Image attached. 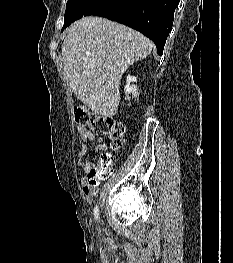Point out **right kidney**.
Wrapping results in <instances>:
<instances>
[{"label": "right kidney", "instance_id": "1", "mask_svg": "<svg viewBox=\"0 0 233 263\" xmlns=\"http://www.w3.org/2000/svg\"><path fill=\"white\" fill-rule=\"evenodd\" d=\"M133 82H137V77L128 75L126 79V86L124 88L126 95L125 100H130L129 94H132V97L135 98L139 96L138 87L133 84Z\"/></svg>", "mask_w": 233, "mask_h": 263}]
</instances>
